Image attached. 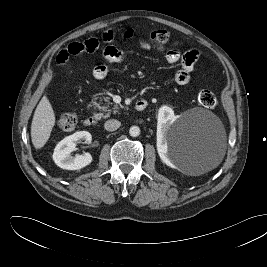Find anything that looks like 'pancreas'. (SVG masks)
I'll return each instance as SVG.
<instances>
[{
  "label": "pancreas",
  "mask_w": 267,
  "mask_h": 267,
  "mask_svg": "<svg viewBox=\"0 0 267 267\" xmlns=\"http://www.w3.org/2000/svg\"><path fill=\"white\" fill-rule=\"evenodd\" d=\"M101 98H95L93 101H92V106H94L95 108H97L100 113H97L95 114V116H97L98 118H107L109 117V115L111 113H117L118 110H119V107L117 104H114L113 103H110L107 98H105V102H107V105L104 104V105H101V103H98L96 100H100ZM109 105H113V108L112 109H109Z\"/></svg>",
  "instance_id": "pancreas-1"
}]
</instances>
